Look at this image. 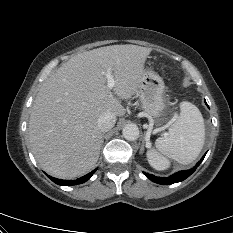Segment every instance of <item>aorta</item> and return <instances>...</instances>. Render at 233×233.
<instances>
[{
	"label": "aorta",
	"instance_id": "1",
	"mask_svg": "<svg viewBox=\"0 0 233 233\" xmlns=\"http://www.w3.org/2000/svg\"><path fill=\"white\" fill-rule=\"evenodd\" d=\"M126 140L135 141L139 138V128L136 124H127L122 130Z\"/></svg>",
	"mask_w": 233,
	"mask_h": 233
}]
</instances>
